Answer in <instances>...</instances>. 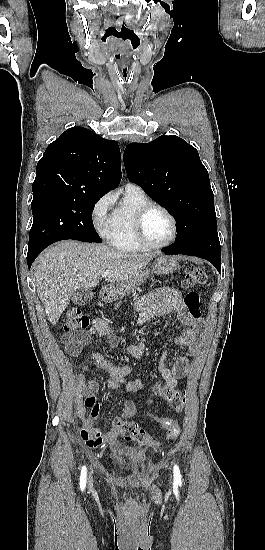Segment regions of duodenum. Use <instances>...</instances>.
Wrapping results in <instances>:
<instances>
[{
  "label": "duodenum",
  "instance_id": "obj_1",
  "mask_svg": "<svg viewBox=\"0 0 265 550\" xmlns=\"http://www.w3.org/2000/svg\"><path fill=\"white\" fill-rule=\"evenodd\" d=\"M108 295H109V294H108V293H106V294H104L103 296H104V297H106V296H108Z\"/></svg>",
  "mask_w": 265,
  "mask_h": 550
}]
</instances>
